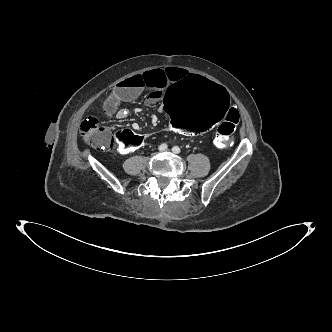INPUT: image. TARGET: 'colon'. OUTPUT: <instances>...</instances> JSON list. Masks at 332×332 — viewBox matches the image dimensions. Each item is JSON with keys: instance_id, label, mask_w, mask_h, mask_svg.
Listing matches in <instances>:
<instances>
[{"instance_id": "colon-1", "label": "colon", "mask_w": 332, "mask_h": 332, "mask_svg": "<svg viewBox=\"0 0 332 332\" xmlns=\"http://www.w3.org/2000/svg\"><path fill=\"white\" fill-rule=\"evenodd\" d=\"M227 109L228 96L220 84L198 75H187L165 95L164 111L168 121L165 129L172 134H199L215 126ZM237 122L238 113L235 111L223 118L216 131V146L227 147L233 143ZM80 134L92 147L112 150L116 145L112 132L94 117L82 121ZM120 146L121 153H134L140 148L141 139L136 133L126 131L121 134Z\"/></svg>"}]
</instances>
